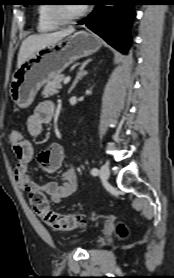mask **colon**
Listing matches in <instances>:
<instances>
[{
  "mask_svg": "<svg viewBox=\"0 0 174 278\" xmlns=\"http://www.w3.org/2000/svg\"><path fill=\"white\" fill-rule=\"evenodd\" d=\"M24 139L18 131H12L9 135L11 144H16ZM29 201L34 212L52 229L58 231H71L84 226V220L80 214H59L52 211L44 194L32 192L29 194ZM118 233L125 236L127 229L121 225Z\"/></svg>",
  "mask_w": 174,
  "mask_h": 278,
  "instance_id": "obj_1",
  "label": "colon"
}]
</instances>
